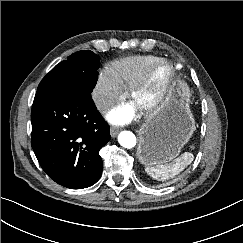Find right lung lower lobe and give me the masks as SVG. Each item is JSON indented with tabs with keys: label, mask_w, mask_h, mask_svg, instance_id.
<instances>
[{
	"label": "right lung lower lobe",
	"mask_w": 243,
	"mask_h": 243,
	"mask_svg": "<svg viewBox=\"0 0 243 243\" xmlns=\"http://www.w3.org/2000/svg\"><path fill=\"white\" fill-rule=\"evenodd\" d=\"M31 122L33 151L52 180L71 189L99 180L103 169L99 150L111 136L91 95L37 92Z\"/></svg>",
	"instance_id": "right-lung-lower-lobe-1"
}]
</instances>
